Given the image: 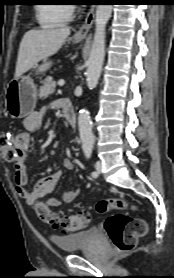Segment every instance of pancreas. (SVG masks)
I'll return each mask as SVG.
<instances>
[{"instance_id":"pancreas-1","label":"pancreas","mask_w":174,"mask_h":278,"mask_svg":"<svg viewBox=\"0 0 174 278\" xmlns=\"http://www.w3.org/2000/svg\"><path fill=\"white\" fill-rule=\"evenodd\" d=\"M39 97L41 99L47 98L49 95L53 94L56 87V82L51 78H47L41 82Z\"/></svg>"}]
</instances>
